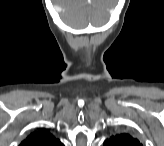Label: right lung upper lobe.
I'll list each match as a JSON object with an SVG mask.
<instances>
[{"instance_id": "cb5924a9", "label": "right lung upper lobe", "mask_w": 164, "mask_h": 146, "mask_svg": "<svg viewBox=\"0 0 164 146\" xmlns=\"http://www.w3.org/2000/svg\"><path fill=\"white\" fill-rule=\"evenodd\" d=\"M59 140L50 135L48 130L31 133L22 143L21 146H61Z\"/></svg>"}]
</instances>
